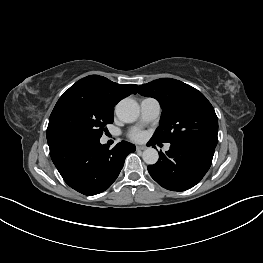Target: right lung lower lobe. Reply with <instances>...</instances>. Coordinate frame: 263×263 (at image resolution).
<instances>
[{"instance_id": "obj_1", "label": "right lung lower lobe", "mask_w": 263, "mask_h": 263, "mask_svg": "<svg viewBox=\"0 0 263 263\" xmlns=\"http://www.w3.org/2000/svg\"><path fill=\"white\" fill-rule=\"evenodd\" d=\"M50 156L64 181L84 195H96L118 177L135 145L122 141L114 148L99 139L66 140L49 144Z\"/></svg>"}]
</instances>
